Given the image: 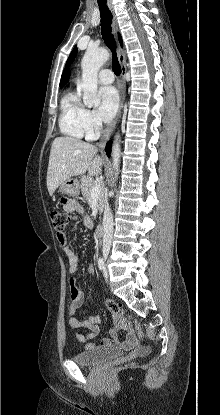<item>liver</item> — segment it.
Instances as JSON below:
<instances>
[{
  "label": "liver",
  "instance_id": "1",
  "mask_svg": "<svg viewBox=\"0 0 220 415\" xmlns=\"http://www.w3.org/2000/svg\"><path fill=\"white\" fill-rule=\"evenodd\" d=\"M97 151L95 145L73 137L55 138L47 170L50 196L58 186L73 176L83 175L87 171L90 176L101 174L103 159L96 155Z\"/></svg>",
  "mask_w": 220,
  "mask_h": 415
}]
</instances>
